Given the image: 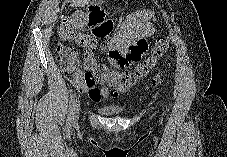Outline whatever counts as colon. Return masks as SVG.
<instances>
[{
	"label": "colon",
	"instance_id": "5ec220e1",
	"mask_svg": "<svg viewBox=\"0 0 227 157\" xmlns=\"http://www.w3.org/2000/svg\"><path fill=\"white\" fill-rule=\"evenodd\" d=\"M90 16H104L99 9H91ZM109 32L85 33L78 31L73 27L68 19H63L59 25L58 33L61 39L73 42L82 48V54L79 56L77 50L70 45L58 43L56 45L57 59L66 78L75 83L77 80V72L79 70L80 61L86 71L85 78L90 84L96 85L107 84L111 88L125 91L129 89L136 77L145 76L168 51L170 40L167 37L157 39L152 54L143 62L139 63L132 73H122L110 70L105 64L100 63L95 51L98 45V37L104 36ZM129 64L133 62H127ZM159 77L153 81L156 85Z\"/></svg>",
	"mask_w": 227,
	"mask_h": 157
}]
</instances>
